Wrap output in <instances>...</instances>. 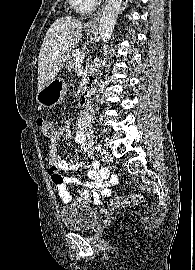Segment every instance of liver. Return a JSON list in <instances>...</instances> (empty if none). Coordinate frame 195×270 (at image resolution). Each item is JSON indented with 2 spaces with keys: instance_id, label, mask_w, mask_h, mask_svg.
<instances>
[{
  "instance_id": "liver-1",
  "label": "liver",
  "mask_w": 195,
  "mask_h": 270,
  "mask_svg": "<svg viewBox=\"0 0 195 270\" xmlns=\"http://www.w3.org/2000/svg\"><path fill=\"white\" fill-rule=\"evenodd\" d=\"M83 23L73 17L57 19L48 29L38 60V91L62 70L82 37Z\"/></svg>"
}]
</instances>
